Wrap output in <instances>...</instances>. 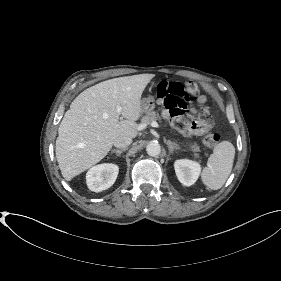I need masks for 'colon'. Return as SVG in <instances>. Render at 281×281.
Returning a JSON list of instances; mask_svg holds the SVG:
<instances>
[{
    "label": "colon",
    "instance_id": "colon-1",
    "mask_svg": "<svg viewBox=\"0 0 281 281\" xmlns=\"http://www.w3.org/2000/svg\"><path fill=\"white\" fill-rule=\"evenodd\" d=\"M199 92L198 85L193 81L185 83L176 81H162L157 86V96L162 100L170 117L179 119L186 111L187 104L191 97ZM205 130H209L213 126L211 116L205 111L201 112L199 120ZM220 136L217 133H209L205 136L203 143L209 148L218 145Z\"/></svg>",
    "mask_w": 281,
    "mask_h": 281
}]
</instances>
